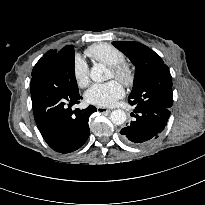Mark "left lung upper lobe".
<instances>
[{"instance_id":"left-lung-upper-lobe-1","label":"left lung upper lobe","mask_w":205,"mask_h":205,"mask_svg":"<svg viewBox=\"0 0 205 205\" xmlns=\"http://www.w3.org/2000/svg\"><path fill=\"white\" fill-rule=\"evenodd\" d=\"M113 45L135 65V78L129 103L136 107L172 106V78L168 66L147 46L133 41H115Z\"/></svg>"}]
</instances>
